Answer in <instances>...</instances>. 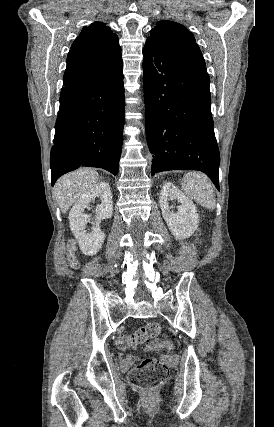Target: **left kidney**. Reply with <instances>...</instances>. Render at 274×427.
<instances>
[{"label": "left kidney", "mask_w": 274, "mask_h": 427, "mask_svg": "<svg viewBox=\"0 0 274 427\" xmlns=\"http://www.w3.org/2000/svg\"><path fill=\"white\" fill-rule=\"evenodd\" d=\"M173 200L181 204V206H177L178 212L176 214L171 210L175 206H169ZM159 202L162 215L176 239H186L194 233L198 227L199 215L193 202L186 198L177 186L171 182H166L160 192Z\"/></svg>", "instance_id": "left-kidney-1"}]
</instances>
